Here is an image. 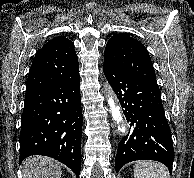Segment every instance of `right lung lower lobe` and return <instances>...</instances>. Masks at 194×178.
<instances>
[{
	"label": "right lung lower lobe",
	"mask_w": 194,
	"mask_h": 178,
	"mask_svg": "<svg viewBox=\"0 0 194 178\" xmlns=\"http://www.w3.org/2000/svg\"><path fill=\"white\" fill-rule=\"evenodd\" d=\"M82 110L79 74L72 80L26 91L21 117L20 162L45 155L67 165L79 177Z\"/></svg>",
	"instance_id": "1"
}]
</instances>
